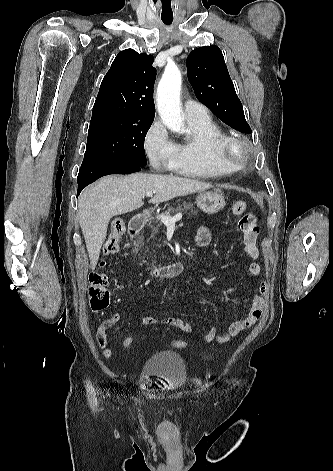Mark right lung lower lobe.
Segmentation results:
<instances>
[{"mask_svg":"<svg viewBox=\"0 0 333 471\" xmlns=\"http://www.w3.org/2000/svg\"><path fill=\"white\" fill-rule=\"evenodd\" d=\"M140 166L124 165L113 162H87L82 163L78 174L77 196L82 189L98 178L109 174H130L140 171Z\"/></svg>","mask_w":333,"mask_h":471,"instance_id":"1","label":"right lung lower lobe"}]
</instances>
